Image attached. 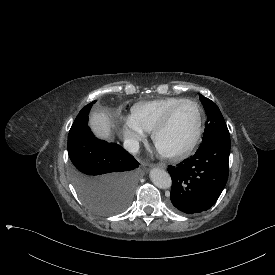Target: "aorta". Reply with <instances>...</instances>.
<instances>
[{"label": "aorta", "mask_w": 275, "mask_h": 275, "mask_svg": "<svg viewBox=\"0 0 275 275\" xmlns=\"http://www.w3.org/2000/svg\"><path fill=\"white\" fill-rule=\"evenodd\" d=\"M149 176L152 183L159 188H168L171 185L169 174L162 168L155 167L150 169Z\"/></svg>", "instance_id": "aorta-1"}]
</instances>
